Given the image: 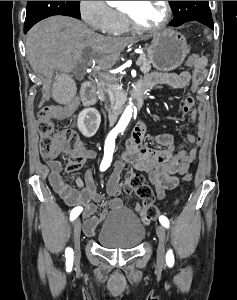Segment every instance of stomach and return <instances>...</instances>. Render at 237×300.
<instances>
[{
    "label": "stomach",
    "instance_id": "0dacf381",
    "mask_svg": "<svg viewBox=\"0 0 237 300\" xmlns=\"http://www.w3.org/2000/svg\"><path fill=\"white\" fill-rule=\"evenodd\" d=\"M136 39H143V35ZM188 53L186 37L174 29H165L152 35L147 49V57L157 71H174L182 65Z\"/></svg>",
    "mask_w": 237,
    "mask_h": 300
}]
</instances>
